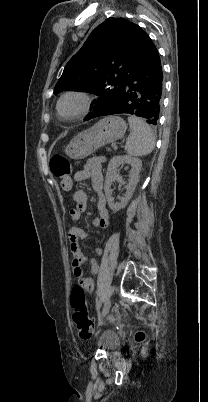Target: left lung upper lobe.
Listing matches in <instances>:
<instances>
[{"label": "left lung upper lobe", "mask_w": 208, "mask_h": 402, "mask_svg": "<svg viewBox=\"0 0 208 402\" xmlns=\"http://www.w3.org/2000/svg\"><path fill=\"white\" fill-rule=\"evenodd\" d=\"M134 25L124 18L106 19L66 64L55 94L77 89L99 96L85 120L95 118L114 100L118 87L130 73L132 44L129 40Z\"/></svg>", "instance_id": "5c2ea615"}]
</instances>
